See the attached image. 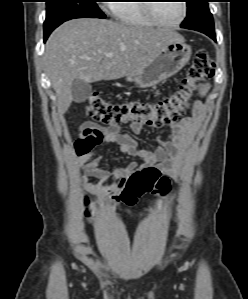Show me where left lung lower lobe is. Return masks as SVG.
Returning <instances> with one entry per match:
<instances>
[{
	"label": "left lung lower lobe",
	"instance_id": "0a47b994",
	"mask_svg": "<svg viewBox=\"0 0 248 299\" xmlns=\"http://www.w3.org/2000/svg\"><path fill=\"white\" fill-rule=\"evenodd\" d=\"M202 33L208 35L209 37H211L214 41H216V37H215V31H211L209 29H203L201 31Z\"/></svg>",
	"mask_w": 248,
	"mask_h": 299
}]
</instances>
